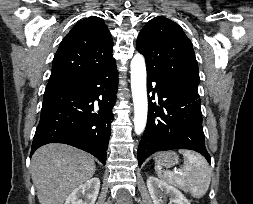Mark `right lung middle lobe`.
I'll use <instances>...</instances> for the list:
<instances>
[{
	"mask_svg": "<svg viewBox=\"0 0 253 204\" xmlns=\"http://www.w3.org/2000/svg\"><path fill=\"white\" fill-rule=\"evenodd\" d=\"M67 82H49L46 86L45 92L49 90L56 89L60 86L65 85Z\"/></svg>",
	"mask_w": 253,
	"mask_h": 204,
	"instance_id": "right-lung-middle-lobe-1",
	"label": "right lung middle lobe"
}]
</instances>
